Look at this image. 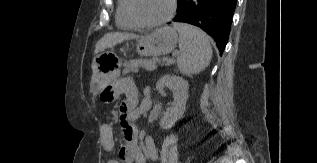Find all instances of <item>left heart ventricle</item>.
<instances>
[{
    "instance_id": "left-heart-ventricle-1",
    "label": "left heart ventricle",
    "mask_w": 317,
    "mask_h": 163,
    "mask_svg": "<svg viewBox=\"0 0 317 163\" xmlns=\"http://www.w3.org/2000/svg\"><path fill=\"white\" fill-rule=\"evenodd\" d=\"M170 1L171 0H136V11L145 21H157L168 13Z\"/></svg>"
}]
</instances>
